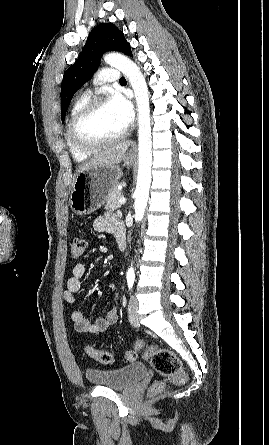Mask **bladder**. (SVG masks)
I'll use <instances>...</instances> for the list:
<instances>
[{
  "mask_svg": "<svg viewBox=\"0 0 269 445\" xmlns=\"http://www.w3.org/2000/svg\"><path fill=\"white\" fill-rule=\"evenodd\" d=\"M147 373L142 363H134L117 369H87V381L96 386L123 390L133 386Z\"/></svg>",
  "mask_w": 269,
  "mask_h": 445,
  "instance_id": "bladder-1",
  "label": "bladder"
}]
</instances>
